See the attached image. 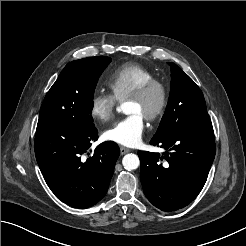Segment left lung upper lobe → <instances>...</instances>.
<instances>
[{"instance_id": "left-lung-upper-lobe-1", "label": "left lung upper lobe", "mask_w": 246, "mask_h": 246, "mask_svg": "<svg viewBox=\"0 0 246 246\" xmlns=\"http://www.w3.org/2000/svg\"><path fill=\"white\" fill-rule=\"evenodd\" d=\"M171 67V91L158 130L152 139L162 138L175 128L210 121L202 91L174 63Z\"/></svg>"}]
</instances>
